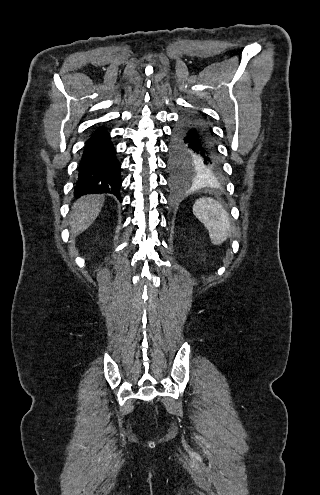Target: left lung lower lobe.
Listing matches in <instances>:
<instances>
[{
    "label": "left lung lower lobe",
    "mask_w": 320,
    "mask_h": 495,
    "mask_svg": "<svg viewBox=\"0 0 320 495\" xmlns=\"http://www.w3.org/2000/svg\"><path fill=\"white\" fill-rule=\"evenodd\" d=\"M187 131L192 147L202 157L207 166V175H215L222 170V162L210 132L203 122L195 115L184 116L181 124Z\"/></svg>",
    "instance_id": "obj_1"
}]
</instances>
